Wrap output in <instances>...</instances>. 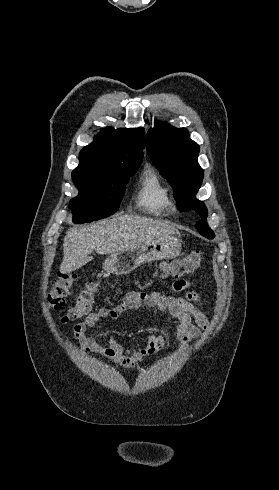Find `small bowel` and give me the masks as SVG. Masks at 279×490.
<instances>
[{"label": "small bowel", "mask_w": 279, "mask_h": 490, "mask_svg": "<svg viewBox=\"0 0 279 490\" xmlns=\"http://www.w3.org/2000/svg\"><path fill=\"white\" fill-rule=\"evenodd\" d=\"M191 286L192 282L187 279L175 281L172 289L174 292L181 293L180 296H171L161 292L131 291L117 305L89 313L82 322L74 326L73 338L86 354L99 356L126 368L137 369L146 358L159 353L164 348L166 331H155L142 350L131 352L115 337L109 338L108 347L100 346L90 330L103 319L113 320L125 312L146 306L155 308L159 312H169L178 321L175 335L179 345L185 346L190 341L199 338L202 331L208 327L203 298L198 292L189 290Z\"/></svg>", "instance_id": "obj_1"}]
</instances>
